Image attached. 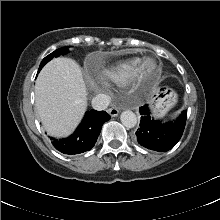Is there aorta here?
Instances as JSON below:
<instances>
[{
	"label": "aorta",
	"instance_id": "aorta-1",
	"mask_svg": "<svg viewBox=\"0 0 220 220\" xmlns=\"http://www.w3.org/2000/svg\"><path fill=\"white\" fill-rule=\"evenodd\" d=\"M120 120L126 128H133L137 124V117L135 113L129 110L121 113Z\"/></svg>",
	"mask_w": 220,
	"mask_h": 220
}]
</instances>
